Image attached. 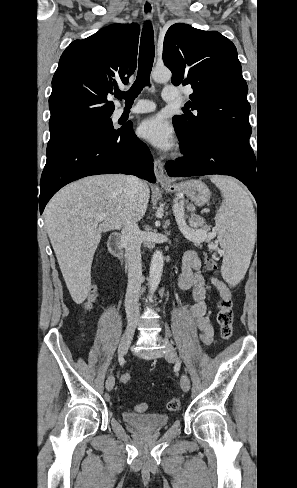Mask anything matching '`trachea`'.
<instances>
[{"label":"trachea","instance_id":"obj_1","mask_svg":"<svg viewBox=\"0 0 297 488\" xmlns=\"http://www.w3.org/2000/svg\"><path fill=\"white\" fill-rule=\"evenodd\" d=\"M155 56L154 32L152 25L146 22L142 29L138 73L132 87L127 92L119 91L116 97L125 99L126 104H132L134 99L141 93L145 86L150 84V73Z\"/></svg>","mask_w":297,"mask_h":488}]
</instances>
